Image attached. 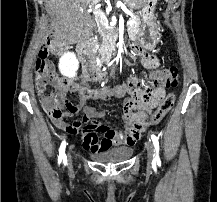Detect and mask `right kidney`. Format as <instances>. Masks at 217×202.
<instances>
[{
  "label": "right kidney",
  "instance_id": "ca27d5eb",
  "mask_svg": "<svg viewBox=\"0 0 217 202\" xmlns=\"http://www.w3.org/2000/svg\"><path fill=\"white\" fill-rule=\"evenodd\" d=\"M59 68L63 76H67V78H75L76 72L79 68V62L75 54H71V52L64 54V56L60 58Z\"/></svg>",
  "mask_w": 217,
  "mask_h": 202
}]
</instances>
